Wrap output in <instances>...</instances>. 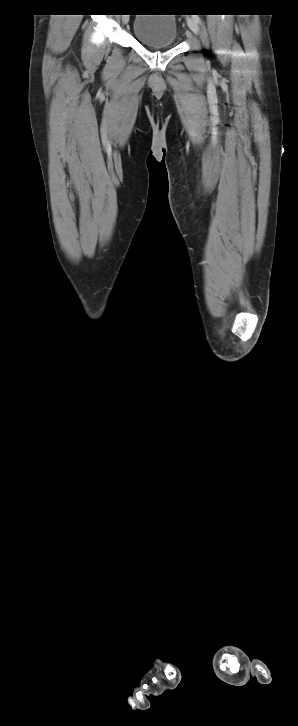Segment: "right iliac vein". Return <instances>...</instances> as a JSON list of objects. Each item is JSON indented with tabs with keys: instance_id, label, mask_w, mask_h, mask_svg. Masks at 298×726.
I'll return each instance as SVG.
<instances>
[{
	"instance_id": "63e3f726",
	"label": "right iliac vein",
	"mask_w": 298,
	"mask_h": 726,
	"mask_svg": "<svg viewBox=\"0 0 298 726\" xmlns=\"http://www.w3.org/2000/svg\"><path fill=\"white\" fill-rule=\"evenodd\" d=\"M128 21H129V17H128L127 15H125V16H124V17L122 18V22H123V24H127V23H128Z\"/></svg>"
}]
</instances>
